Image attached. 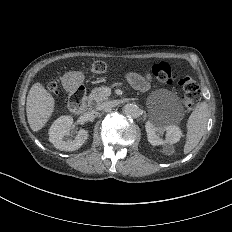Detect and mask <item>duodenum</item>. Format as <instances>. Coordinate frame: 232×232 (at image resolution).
<instances>
[{"label": "duodenum", "instance_id": "duodenum-1", "mask_svg": "<svg viewBox=\"0 0 232 232\" xmlns=\"http://www.w3.org/2000/svg\"><path fill=\"white\" fill-rule=\"evenodd\" d=\"M69 93V108L75 115H80L85 109L86 88L75 79L67 80L64 83Z\"/></svg>", "mask_w": 232, "mask_h": 232}]
</instances>
